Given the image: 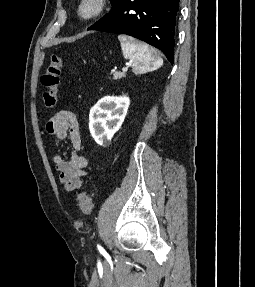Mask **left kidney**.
<instances>
[{
	"label": "left kidney",
	"mask_w": 255,
	"mask_h": 287,
	"mask_svg": "<svg viewBox=\"0 0 255 287\" xmlns=\"http://www.w3.org/2000/svg\"><path fill=\"white\" fill-rule=\"evenodd\" d=\"M130 100L127 96H104L89 114V130L97 144H109L115 132L121 128Z\"/></svg>",
	"instance_id": "obj_1"
}]
</instances>
